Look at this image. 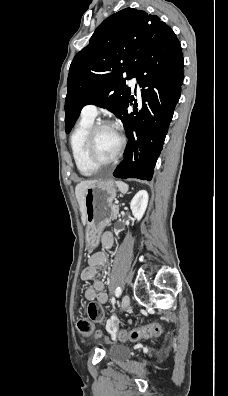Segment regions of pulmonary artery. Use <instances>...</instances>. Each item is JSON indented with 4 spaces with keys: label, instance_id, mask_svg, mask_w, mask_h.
<instances>
[{
    "label": "pulmonary artery",
    "instance_id": "obj_1",
    "mask_svg": "<svg viewBox=\"0 0 228 396\" xmlns=\"http://www.w3.org/2000/svg\"><path fill=\"white\" fill-rule=\"evenodd\" d=\"M129 83L132 87H135L137 91L140 90L139 82L136 77L130 79ZM97 114H98V108L96 105L93 104L86 105L82 110V115L86 117L95 118Z\"/></svg>",
    "mask_w": 228,
    "mask_h": 396
}]
</instances>
